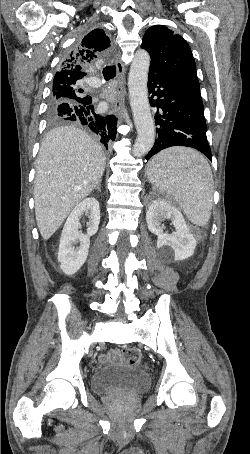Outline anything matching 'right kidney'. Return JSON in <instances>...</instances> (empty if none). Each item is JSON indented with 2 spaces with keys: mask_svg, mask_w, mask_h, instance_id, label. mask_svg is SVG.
Here are the masks:
<instances>
[{
  "mask_svg": "<svg viewBox=\"0 0 250 454\" xmlns=\"http://www.w3.org/2000/svg\"><path fill=\"white\" fill-rule=\"evenodd\" d=\"M84 214L89 218L87 234L85 235L79 231L81 227L80 218ZM99 222L100 206L94 197L84 199L70 213L62 230L58 251L60 268L66 275H73L85 263L90 246V237L98 231ZM76 241L80 242V247L77 249L73 247Z\"/></svg>",
  "mask_w": 250,
  "mask_h": 454,
  "instance_id": "1",
  "label": "right kidney"
}]
</instances>
